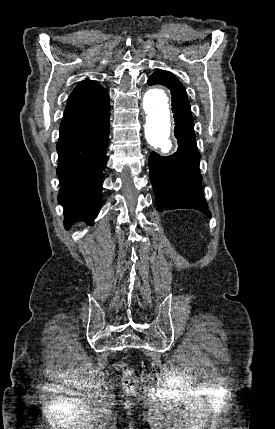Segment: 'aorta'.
<instances>
[{"instance_id": "obj_1", "label": "aorta", "mask_w": 275, "mask_h": 429, "mask_svg": "<svg viewBox=\"0 0 275 429\" xmlns=\"http://www.w3.org/2000/svg\"><path fill=\"white\" fill-rule=\"evenodd\" d=\"M143 109L147 142L169 152L172 148V119L167 89L159 85L148 88L143 97Z\"/></svg>"}]
</instances>
